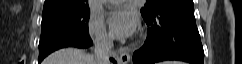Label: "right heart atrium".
I'll return each instance as SVG.
<instances>
[{
	"mask_svg": "<svg viewBox=\"0 0 242 64\" xmlns=\"http://www.w3.org/2000/svg\"><path fill=\"white\" fill-rule=\"evenodd\" d=\"M89 32L95 41L99 44L109 42V37L106 33L104 22L97 16H91L88 23Z\"/></svg>",
	"mask_w": 242,
	"mask_h": 64,
	"instance_id": "d8ad5b80",
	"label": "right heart atrium"
}]
</instances>
